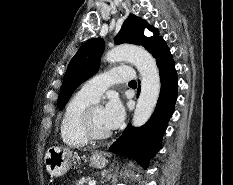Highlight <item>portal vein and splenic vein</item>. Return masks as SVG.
<instances>
[{
	"label": "portal vein and splenic vein",
	"instance_id": "obj_1",
	"mask_svg": "<svg viewBox=\"0 0 233 185\" xmlns=\"http://www.w3.org/2000/svg\"><path fill=\"white\" fill-rule=\"evenodd\" d=\"M88 185H96V181L95 180L89 181Z\"/></svg>",
	"mask_w": 233,
	"mask_h": 185
}]
</instances>
